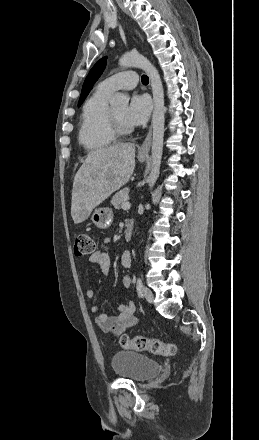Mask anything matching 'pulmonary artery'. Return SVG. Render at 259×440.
<instances>
[{
    "label": "pulmonary artery",
    "mask_w": 259,
    "mask_h": 440,
    "mask_svg": "<svg viewBox=\"0 0 259 440\" xmlns=\"http://www.w3.org/2000/svg\"><path fill=\"white\" fill-rule=\"evenodd\" d=\"M139 78L135 71L127 70L116 73L103 81L98 85V88L107 93H113L116 90L124 89L130 90L136 87Z\"/></svg>",
    "instance_id": "1"
}]
</instances>
